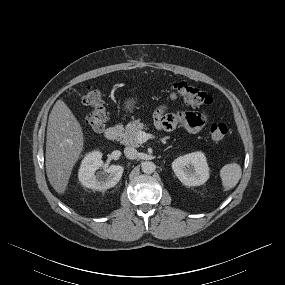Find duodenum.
Here are the masks:
<instances>
[{"mask_svg":"<svg viewBox=\"0 0 285 285\" xmlns=\"http://www.w3.org/2000/svg\"><path fill=\"white\" fill-rule=\"evenodd\" d=\"M121 133V128L119 125H115V126H111L108 127L105 130V137L110 140V141H114L116 139H118V137L120 136Z\"/></svg>","mask_w":285,"mask_h":285,"instance_id":"duodenum-1","label":"duodenum"}]
</instances>
